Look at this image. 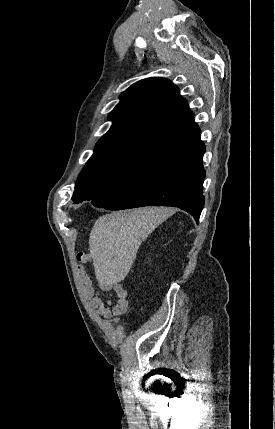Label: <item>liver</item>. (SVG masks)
Segmentation results:
<instances>
[{"label":"liver","mask_w":275,"mask_h":429,"mask_svg":"<svg viewBox=\"0 0 275 429\" xmlns=\"http://www.w3.org/2000/svg\"><path fill=\"white\" fill-rule=\"evenodd\" d=\"M171 211L163 207L113 212L99 217L89 238L96 279L103 289L124 280L145 239Z\"/></svg>","instance_id":"liver-1"}]
</instances>
